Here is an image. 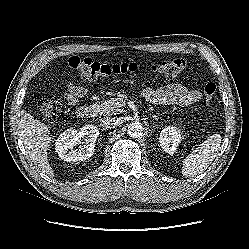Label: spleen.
Masks as SVG:
<instances>
[{"label": "spleen", "instance_id": "3e777b00", "mask_svg": "<svg viewBox=\"0 0 249 249\" xmlns=\"http://www.w3.org/2000/svg\"><path fill=\"white\" fill-rule=\"evenodd\" d=\"M221 145L219 134L211 135L183 161V175L187 177L202 173L215 159Z\"/></svg>", "mask_w": 249, "mask_h": 249}]
</instances>
